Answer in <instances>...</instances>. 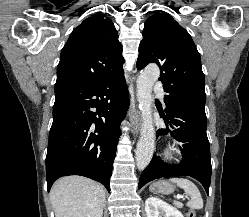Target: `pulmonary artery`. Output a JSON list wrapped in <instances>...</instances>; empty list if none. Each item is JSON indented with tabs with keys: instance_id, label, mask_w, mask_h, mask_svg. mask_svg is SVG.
<instances>
[{
	"instance_id": "1",
	"label": "pulmonary artery",
	"mask_w": 249,
	"mask_h": 217,
	"mask_svg": "<svg viewBox=\"0 0 249 217\" xmlns=\"http://www.w3.org/2000/svg\"><path fill=\"white\" fill-rule=\"evenodd\" d=\"M153 92L157 95V96H160L162 97L164 95V92H163V88L161 86V84L159 83H156L153 87Z\"/></svg>"
}]
</instances>
